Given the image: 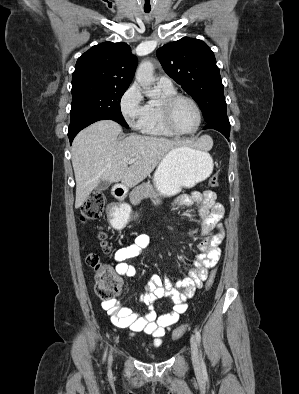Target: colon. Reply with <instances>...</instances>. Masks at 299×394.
<instances>
[{"instance_id": "5ec220e1", "label": "colon", "mask_w": 299, "mask_h": 394, "mask_svg": "<svg viewBox=\"0 0 299 394\" xmlns=\"http://www.w3.org/2000/svg\"><path fill=\"white\" fill-rule=\"evenodd\" d=\"M210 185L213 187L219 186V176L218 174H213L209 181ZM106 204V196L103 192L95 191L93 192L83 203L81 208V220L84 222L94 221L99 218L102 214L104 206ZM99 238L101 240V246L104 252H109V247L105 242V234L100 233ZM87 265L93 269L95 273V292L98 297L104 301H113L116 299L120 292L122 282L120 278L116 275L113 268L101 261L100 257L91 253L86 257ZM216 278V270L213 269L207 276L206 279V289H210L214 284ZM187 329V325L183 324L179 326L173 332V339H179Z\"/></svg>"}]
</instances>
